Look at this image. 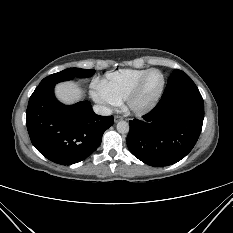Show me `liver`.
<instances>
[{"instance_id":"6515ba94","label":"liver","mask_w":233,"mask_h":233,"mask_svg":"<svg viewBox=\"0 0 233 233\" xmlns=\"http://www.w3.org/2000/svg\"><path fill=\"white\" fill-rule=\"evenodd\" d=\"M55 95L64 104H74L82 99L83 92L77 83L67 81L56 85Z\"/></svg>"}]
</instances>
